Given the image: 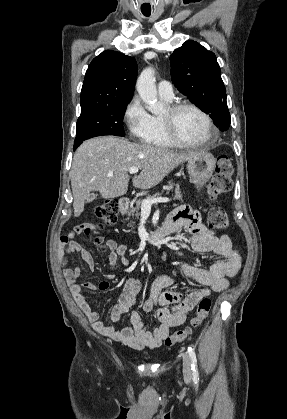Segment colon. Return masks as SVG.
<instances>
[{"label": "colon", "mask_w": 287, "mask_h": 419, "mask_svg": "<svg viewBox=\"0 0 287 419\" xmlns=\"http://www.w3.org/2000/svg\"><path fill=\"white\" fill-rule=\"evenodd\" d=\"M233 165L227 156L217 158L215 172L208 186V194L211 199H216L221 194L227 193L232 188ZM118 204L115 200L107 199L95 207V216L101 221L99 228L112 226L117 221ZM210 228L214 230H224L228 226V219L224 209L213 207L208 214ZM100 244V238L96 239ZM211 300L203 298L197 307L195 316L191 320L189 327L174 332L165 339V345L170 347L187 339L193 329L199 327L207 318L211 310Z\"/></svg>", "instance_id": "colon-1"}]
</instances>
